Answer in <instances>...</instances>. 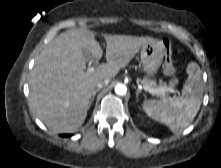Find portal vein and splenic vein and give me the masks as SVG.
I'll return each mask as SVG.
<instances>
[{"label": "portal vein and splenic vein", "instance_id": "portal-vein-and-splenic-vein-1", "mask_svg": "<svg viewBox=\"0 0 221 168\" xmlns=\"http://www.w3.org/2000/svg\"><path fill=\"white\" fill-rule=\"evenodd\" d=\"M87 71L93 72V71H94V68L91 67V68H89ZM143 89H144L145 91H148V92L151 93V94H164V92H165V91H160V90L155 89V88H151V87H149V86H147V85H144V86H143ZM172 92L179 94V92H178L177 90H172Z\"/></svg>", "mask_w": 221, "mask_h": 168}]
</instances>
